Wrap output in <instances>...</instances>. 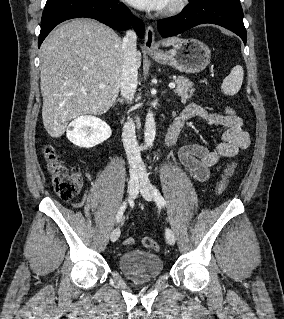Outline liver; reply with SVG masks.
I'll list each match as a JSON object with an SVG mask.
<instances>
[{
  "mask_svg": "<svg viewBox=\"0 0 284 319\" xmlns=\"http://www.w3.org/2000/svg\"><path fill=\"white\" fill-rule=\"evenodd\" d=\"M180 39L162 41L174 45ZM124 52L121 38L91 19H74L54 29L41 45L40 87L43 124L51 137H61L72 119L101 115L116 101ZM137 68L141 53L136 55ZM103 83L104 88H99Z\"/></svg>",
  "mask_w": 284,
  "mask_h": 319,
  "instance_id": "6515ba94",
  "label": "liver"
}]
</instances>
